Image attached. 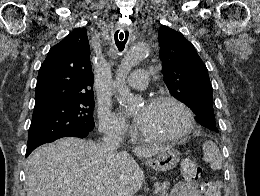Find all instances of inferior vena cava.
<instances>
[{
    "label": "inferior vena cava",
    "mask_w": 260,
    "mask_h": 196,
    "mask_svg": "<svg viewBox=\"0 0 260 196\" xmlns=\"http://www.w3.org/2000/svg\"><path fill=\"white\" fill-rule=\"evenodd\" d=\"M122 142L123 140L117 132H108V134H105L102 138V146H105L109 154H117Z\"/></svg>",
    "instance_id": "602c4592"
}]
</instances>
